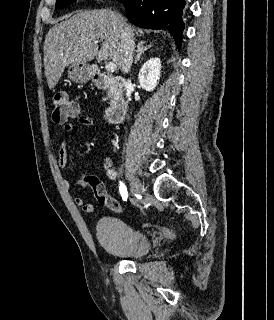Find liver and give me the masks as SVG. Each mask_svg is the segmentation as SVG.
Masks as SVG:
<instances>
[{"label":"liver","instance_id":"1","mask_svg":"<svg viewBox=\"0 0 274 320\" xmlns=\"http://www.w3.org/2000/svg\"><path fill=\"white\" fill-rule=\"evenodd\" d=\"M120 22L127 20L110 8L79 10L49 30L44 50V70L48 88L53 90L69 64L112 60L119 70L123 64ZM129 26V24H128ZM99 42H103L98 50Z\"/></svg>","mask_w":274,"mask_h":320}]
</instances>
